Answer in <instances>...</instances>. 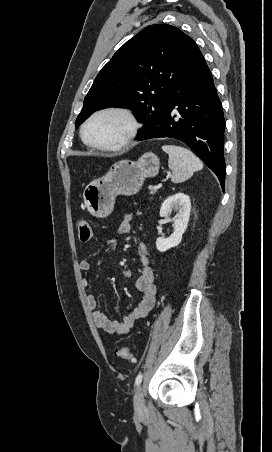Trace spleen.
I'll return each instance as SVG.
<instances>
[{"instance_id":"3e777b00","label":"spleen","mask_w":272,"mask_h":452,"mask_svg":"<svg viewBox=\"0 0 272 452\" xmlns=\"http://www.w3.org/2000/svg\"><path fill=\"white\" fill-rule=\"evenodd\" d=\"M162 150L169 156L168 166L172 170L171 181L173 183L184 182L194 172L203 168L201 160L187 148L175 145H163Z\"/></svg>"}]
</instances>
